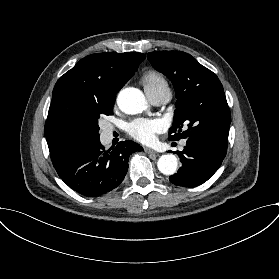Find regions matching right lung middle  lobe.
Here are the masks:
<instances>
[{
    "instance_id": "dd1d6c3e",
    "label": "right lung middle lobe",
    "mask_w": 279,
    "mask_h": 279,
    "mask_svg": "<svg viewBox=\"0 0 279 279\" xmlns=\"http://www.w3.org/2000/svg\"><path fill=\"white\" fill-rule=\"evenodd\" d=\"M115 97L93 99L82 102L80 112L73 117L72 127L80 138L87 142L99 140L98 119L103 115L113 114Z\"/></svg>"
}]
</instances>
